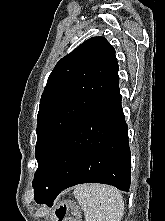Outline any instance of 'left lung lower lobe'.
<instances>
[{
  "instance_id": "obj_1",
  "label": "left lung lower lobe",
  "mask_w": 165,
  "mask_h": 221,
  "mask_svg": "<svg viewBox=\"0 0 165 221\" xmlns=\"http://www.w3.org/2000/svg\"><path fill=\"white\" fill-rule=\"evenodd\" d=\"M121 99L117 78L58 144L36 186L37 203L51 207L63 189L82 183L129 191L131 155Z\"/></svg>"
}]
</instances>
